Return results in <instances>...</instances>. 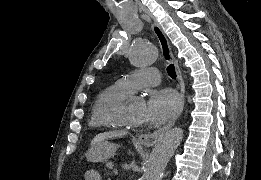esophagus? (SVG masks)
<instances>
[{
	"mask_svg": "<svg viewBox=\"0 0 261 180\" xmlns=\"http://www.w3.org/2000/svg\"><path fill=\"white\" fill-rule=\"evenodd\" d=\"M152 30L159 41L164 60L167 63H171V62L174 63L177 79L179 82V89H180V106L176 115L173 118H171V120L166 125H164V127L159 128V130H156V132L153 133H145L139 135L138 139L140 143L146 145L147 147H152L153 145H155V143H157L158 140H160V138L165 134V132H167V130H169L174 125L175 121L177 120L178 116L183 110L184 102H185V83L182 77L180 67L178 65V61L176 60V58L172 53L168 38L166 37L161 27L155 22L152 23Z\"/></svg>",
	"mask_w": 261,
	"mask_h": 180,
	"instance_id": "34e87169",
	"label": "esophagus"
}]
</instances>
